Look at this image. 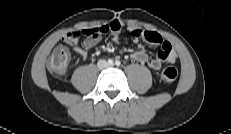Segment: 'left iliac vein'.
Returning <instances> with one entry per match:
<instances>
[{
	"label": "left iliac vein",
	"mask_w": 231,
	"mask_h": 134,
	"mask_svg": "<svg viewBox=\"0 0 231 134\" xmlns=\"http://www.w3.org/2000/svg\"><path fill=\"white\" fill-rule=\"evenodd\" d=\"M111 66H113V64H111V65L109 64V67H111Z\"/></svg>",
	"instance_id": "obj_1"
}]
</instances>
